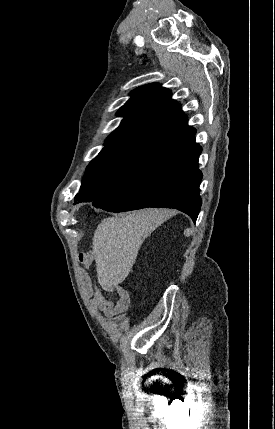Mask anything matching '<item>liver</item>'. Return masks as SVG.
I'll return each instance as SVG.
<instances>
[{
  "instance_id": "obj_1",
  "label": "liver",
  "mask_w": 275,
  "mask_h": 429,
  "mask_svg": "<svg viewBox=\"0 0 275 429\" xmlns=\"http://www.w3.org/2000/svg\"><path fill=\"white\" fill-rule=\"evenodd\" d=\"M170 216L166 209H144L101 221L92 248L102 288L113 291L126 279L144 239Z\"/></svg>"
}]
</instances>
